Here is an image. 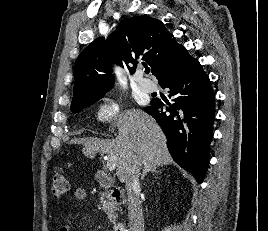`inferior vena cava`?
Segmentation results:
<instances>
[{
  "label": "inferior vena cava",
  "mask_w": 268,
  "mask_h": 231,
  "mask_svg": "<svg viewBox=\"0 0 268 231\" xmlns=\"http://www.w3.org/2000/svg\"><path fill=\"white\" fill-rule=\"evenodd\" d=\"M141 160L137 157L132 159L125 175V184L128 200L129 231H144V219L141 208L140 195V169Z\"/></svg>",
  "instance_id": "inferior-vena-cava-1"
}]
</instances>
